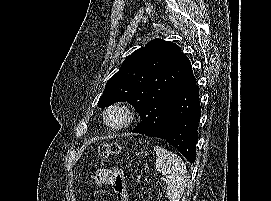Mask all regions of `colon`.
Segmentation results:
<instances>
[{
  "label": "colon",
  "mask_w": 271,
  "mask_h": 201,
  "mask_svg": "<svg viewBox=\"0 0 271 201\" xmlns=\"http://www.w3.org/2000/svg\"><path fill=\"white\" fill-rule=\"evenodd\" d=\"M123 152V147L118 142L103 143L98 149V154L101 158L120 155Z\"/></svg>",
  "instance_id": "1"
}]
</instances>
